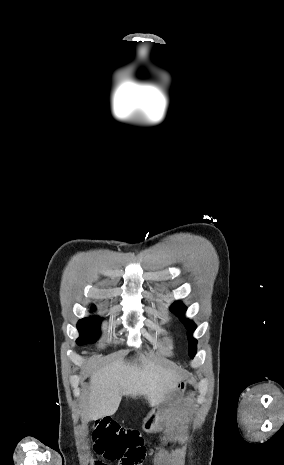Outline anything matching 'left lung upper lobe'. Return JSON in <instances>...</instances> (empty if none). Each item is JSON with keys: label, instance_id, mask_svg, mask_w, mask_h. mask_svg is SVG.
Here are the masks:
<instances>
[{"label": "left lung upper lobe", "instance_id": "obj_1", "mask_svg": "<svg viewBox=\"0 0 284 465\" xmlns=\"http://www.w3.org/2000/svg\"><path fill=\"white\" fill-rule=\"evenodd\" d=\"M170 310L181 318L182 322L184 323L185 327L188 330L187 335H188V341H189V356L190 358H193L197 352V348H196L197 340L191 337V333L196 329V325L192 321L184 317L186 307L182 304L181 301L175 302L170 307Z\"/></svg>", "mask_w": 284, "mask_h": 465}]
</instances>
